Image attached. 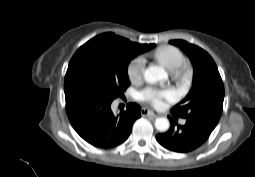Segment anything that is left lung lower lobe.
<instances>
[{"label": "left lung lower lobe", "instance_id": "left-lung-lower-lobe-1", "mask_svg": "<svg viewBox=\"0 0 255 177\" xmlns=\"http://www.w3.org/2000/svg\"><path fill=\"white\" fill-rule=\"evenodd\" d=\"M171 127L166 133L157 134L156 140L166 149L186 153L201 146L210 136L213 128L187 120L181 126L170 118Z\"/></svg>", "mask_w": 255, "mask_h": 177}]
</instances>
